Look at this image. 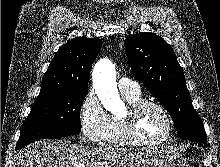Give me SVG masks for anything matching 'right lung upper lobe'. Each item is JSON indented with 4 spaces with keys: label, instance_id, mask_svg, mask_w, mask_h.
Here are the masks:
<instances>
[{
    "label": "right lung upper lobe",
    "instance_id": "right-lung-upper-lobe-1",
    "mask_svg": "<svg viewBox=\"0 0 220 167\" xmlns=\"http://www.w3.org/2000/svg\"><path fill=\"white\" fill-rule=\"evenodd\" d=\"M100 49L98 38L76 37L61 46L44 74L37 99L68 89H88L90 69Z\"/></svg>",
    "mask_w": 220,
    "mask_h": 167
}]
</instances>
